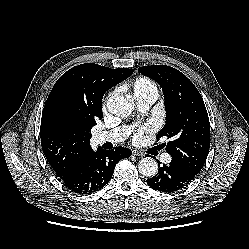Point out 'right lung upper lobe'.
Instances as JSON below:
<instances>
[{
  "label": "right lung upper lobe",
  "instance_id": "obj_1",
  "mask_svg": "<svg viewBox=\"0 0 249 249\" xmlns=\"http://www.w3.org/2000/svg\"><path fill=\"white\" fill-rule=\"evenodd\" d=\"M133 72L134 69L86 63L71 68L57 80L42 113L40 136L44 155L59 177L66 176L91 147L81 136L64 128L62 118L56 114L57 100L68 95L76 104L95 110L102 118L104 93Z\"/></svg>",
  "mask_w": 249,
  "mask_h": 249
}]
</instances>
